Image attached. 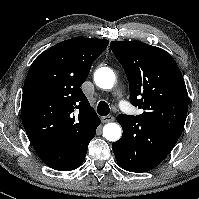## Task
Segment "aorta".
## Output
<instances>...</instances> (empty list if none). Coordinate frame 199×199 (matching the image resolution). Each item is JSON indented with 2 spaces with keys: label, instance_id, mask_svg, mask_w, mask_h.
<instances>
[{
  "label": "aorta",
  "instance_id": "obj_1",
  "mask_svg": "<svg viewBox=\"0 0 199 199\" xmlns=\"http://www.w3.org/2000/svg\"><path fill=\"white\" fill-rule=\"evenodd\" d=\"M116 77L112 69L108 67L99 68L94 74L96 85L102 89H111ZM122 135V129L117 123H107L103 127V136L109 141H117Z\"/></svg>",
  "mask_w": 199,
  "mask_h": 199
}]
</instances>
